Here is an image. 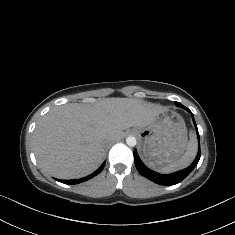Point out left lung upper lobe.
<instances>
[{
  "instance_id": "obj_1",
  "label": "left lung upper lobe",
  "mask_w": 235,
  "mask_h": 235,
  "mask_svg": "<svg viewBox=\"0 0 235 235\" xmlns=\"http://www.w3.org/2000/svg\"><path fill=\"white\" fill-rule=\"evenodd\" d=\"M175 104L179 107L185 108V106H183L182 104H180L179 102H175Z\"/></svg>"
}]
</instances>
